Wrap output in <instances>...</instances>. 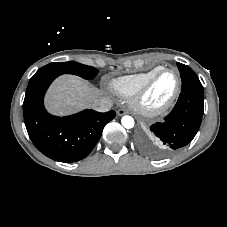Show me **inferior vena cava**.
<instances>
[{"mask_svg":"<svg viewBox=\"0 0 227 227\" xmlns=\"http://www.w3.org/2000/svg\"><path fill=\"white\" fill-rule=\"evenodd\" d=\"M92 108L98 112H107L112 107V101L109 98H99L92 103Z\"/></svg>","mask_w":227,"mask_h":227,"instance_id":"602c4592","label":"inferior vena cava"}]
</instances>
